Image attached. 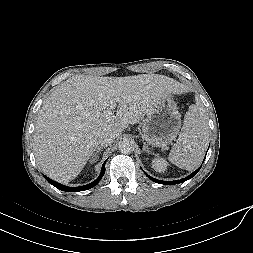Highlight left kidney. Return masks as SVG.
<instances>
[{
  "label": "left kidney",
  "instance_id": "1",
  "mask_svg": "<svg viewBox=\"0 0 253 253\" xmlns=\"http://www.w3.org/2000/svg\"><path fill=\"white\" fill-rule=\"evenodd\" d=\"M152 168L157 172H164L167 168V162L163 158H155L152 160Z\"/></svg>",
  "mask_w": 253,
  "mask_h": 253
}]
</instances>
